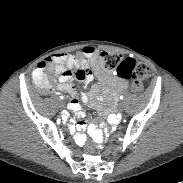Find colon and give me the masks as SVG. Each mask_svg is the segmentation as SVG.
Here are the masks:
<instances>
[{
	"label": "colon",
	"instance_id": "obj_1",
	"mask_svg": "<svg viewBox=\"0 0 183 183\" xmlns=\"http://www.w3.org/2000/svg\"><path fill=\"white\" fill-rule=\"evenodd\" d=\"M74 58L78 61L83 59L82 54H75ZM101 66L124 79H131V88L134 92H142L150 78L149 67L144 63H137L132 58H123L121 55L112 52H102L99 58ZM50 65L47 61L40 62L33 72V80L37 86L43 90H49V69ZM84 151L87 154H92L95 151V146L92 143H87L84 146Z\"/></svg>",
	"mask_w": 183,
	"mask_h": 183
}]
</instances>
